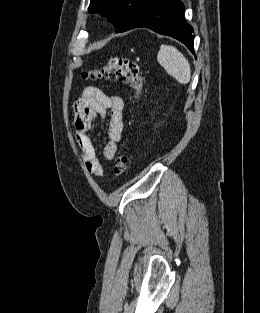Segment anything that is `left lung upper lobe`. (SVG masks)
I'll use <instances>...</instances> for the list:
<instances>
[{
  "label": "left lung upper lobe",
  "instance_id": "1",
  "mask_svg": "<svg viewBox=\"0 0 260 313\" xmlns=\"http://www.w3.org/2000/svg\"><path fill=\"white\" fill-rule=\"evenodd\" d=\"M151 2L152 0H91L88 11H100L102 15L109 16L110 21L119 28L118 32H124Z\"/></svg>",
  "mask_w": 260,
  "mask_h": 313
}]
</instances>
